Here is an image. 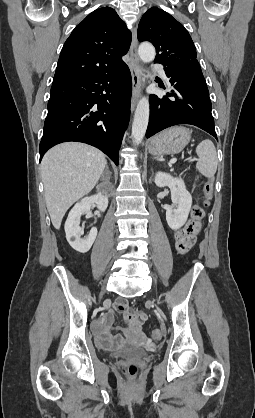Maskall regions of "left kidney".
<instances>
[{
	"mask_svg": "<svg viewBox=\"0 0 255 418\" xmlns=\"http://www.w3.org/2000/svg\"><path fill=\"white\" fill-rule=\"evenodd\" d=\"M155 184L158 187L170 188L172 205L166 211V221L171 229H179L187 221L192 205L191 194L186 190L181 178L173 177L165 172L156 173Z\"/></svg>",
	"mask_w": 255,
	"mask_h": 418,
	"instance_id": "1",
	"label": "left kidney"
}]
</instances>
